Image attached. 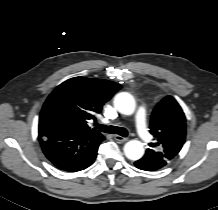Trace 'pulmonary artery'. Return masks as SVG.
<instances>
[{
	"mask_svg": "<svg viewBox=\"0 0 218 210\" xmlns=\"http://www.w3.org/2000/svg\"><path fill=\"white\" fill-rule=\"evenodd\" d=\"M135 124L140 138L144 142H149L151 137L146 128V111L143 106L139 107L135 116Z\"/></svg>",
	"mask_w": 218,
	"mask_h": 210,
	"instance_id": "1",
	"label": "pulmonary artery"
}]
</instances>
